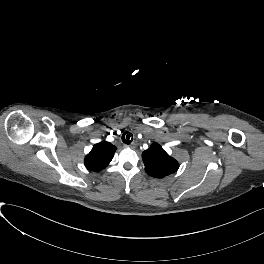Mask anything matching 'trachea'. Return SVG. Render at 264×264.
I'll return each instance as SVG.
<instances>
[{
	"mask_svg": "<svg viewBox=\"0 0 264 264\" xmlns=\"http://www.w3.org/2000/svg\"><path fill=\"white\" fill-rule=\"evenodd\" d=\"M133 140V135L132 133H129V132H125L123 133L122 135V141L125 143V144H130Z\"/></svg>",
	"mask_w": 264,
	"mask_h": 264,
	"instance_id": "1",
	"label": "trachea"
}]
</instances>
